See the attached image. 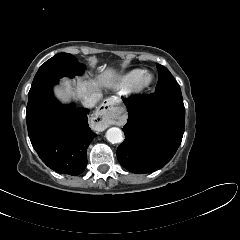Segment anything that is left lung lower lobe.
Here are the masks:
<instances>
[{"label":"left lung lower lobe","instance_id":"obj_1","mask_svg":"<svg viewBox=\"0 0 240 240\" xmlns=\"http://www.w3.org/2000/svg\"><path fill=\"white\" fill-rule=\"evenodd\" d=\"M128 110L125 140L117 148L120 164L133 173H148L169 162L185 127L181 90H161L123 99Z\"/></svg>","mask_w":240,"mask_h":240}]
</instances>
